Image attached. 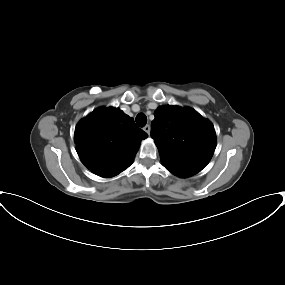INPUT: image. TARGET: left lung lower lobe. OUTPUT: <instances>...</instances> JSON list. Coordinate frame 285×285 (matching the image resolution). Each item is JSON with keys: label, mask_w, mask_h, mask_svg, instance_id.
Masks as SVG:
<instances>
[{"label": "left lung lower lobe", "mask_w": 285, "mask_h": 285, "mask_svg": "<svg viewBox=\"0 0 285 285\" xmlns=\"http://www.w3.org/2000/svg\"><path fill=\"white\" fill-rule=\"evenodd\" d=\"M164 167L167 170H169L171 173L179 177H189L197 173L193 170L186 169V168H179V167L168 166V165H164Z\"/></svg>", "instance_id": "obj_1"}]
</instances>
